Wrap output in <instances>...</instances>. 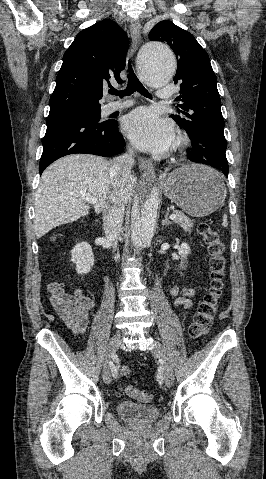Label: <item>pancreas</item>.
Listing matches in <instances>:
<instances>
[{
  "mask_svg": "<svg viewBox=\"0 0 266 479\" xmlns=\"http://www.w3.org/2000/svg\"><path fill=\"white\" fill-rule=\"evenodd\" d=\"M174 214L177 218L174 220V223L178 224L184 231L191 232L193 227V220L189 219L179 210H174Z\"/></svg>",
  "mask_w": 266,
  "mask_h": 479,
  "instance_id": "1",
  "label": "pancreas"
}]
</instances>
